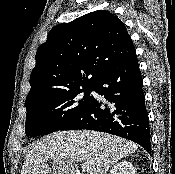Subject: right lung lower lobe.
<instances>
[{
    "label": "right lung lower lobe",
    "mask_w": 175,
    "mask_h": 174,
    "mask_svg": "<svg viewBox=\"0 0 175 174\" xmlns=\"http://www.w3.org/2000/svg\"><path fill=\"white\" fill-rule=\"evenodd\" d=\"M93 90L106 103L92 96L87 108L62 130H97L138 143L151 154L150 127L136 54L110 67Z\"/></svg>",
    "instance_id": "98d812e1"
}]
</instances>
